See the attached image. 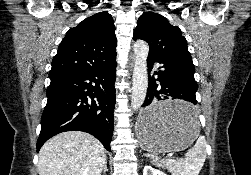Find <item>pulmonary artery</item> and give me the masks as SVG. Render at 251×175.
<instances>
[{
  "label": "pulmonary artery",
  "mask_w": 251,
  "mask_h": 175,
  "mask_svg": "<svg viewBox=\"0 0 251 175\" xmlns=\"http://www.w3.org/2000/svg\"><path fill=\"white\" fill-rule=\"evenodd\" d=\"M160 68H161V69H163L164 67H163V66H161Z\"/></svg>",
  "instance_id": "pulmonary-artery-1"
}]
</instances>
